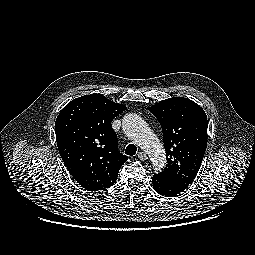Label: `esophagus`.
<instances>
[{"label":"esophagus","instance_id":"obj_1","mask_svg":"<svg viewBox=\"0 0 255 255\" xmlns=\"http://www.w3.org/2000/svg\"><path fill=\"white\" fill-rule=\"evenodd\" d=\"M137 157L140 159V160H146L147 159V154L143 151L139 152Z\"/></svg>","mask_w":255,"mask_h":255}]
</instances>
